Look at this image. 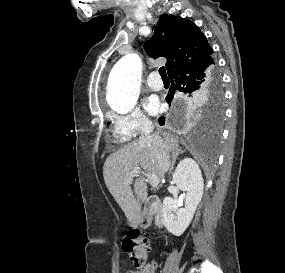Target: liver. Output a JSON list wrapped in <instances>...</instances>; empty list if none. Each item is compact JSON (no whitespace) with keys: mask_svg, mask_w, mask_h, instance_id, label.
<instances>
[{"mask_svg":"<svg viewBox=\"0 0 285 273\" xmlns=\"http://www.w3.org/2000/svg\"><path fill=\"white\" fill-rule=\"evenodd\" d=\"M162 141L168 152L180 149L178 138L173 135H164ZM139 167L159 178L164 177L155 147L140 140H135L108 156L103 167L105 184L133 227L140 218L141 201L147 197L144 177L135 180L134 190L131 189L132 182L127 181L130 172Z\"/></svg>","mask_w":285,"mask_h":273,"instance_id":"1","label":"liver"}]
</instances>
